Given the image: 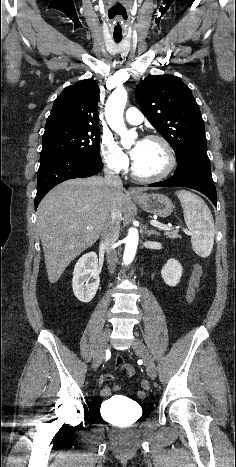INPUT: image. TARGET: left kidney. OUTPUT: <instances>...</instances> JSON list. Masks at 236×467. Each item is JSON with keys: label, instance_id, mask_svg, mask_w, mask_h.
I'll return each instance as SVG.
<instances>
[{"label": "left kidney", "instance_id": "5707ae66", "mask_svg": "<svg viewBox=\"0 0 236 467\" xmlns=\"http://www.w3.org/2000/svg\"><path fill=\"white\" fill-rule=\"evenodd\" d=\"M182 272L181 264L175 259H170L162 268L161 276L168 286L175 287L180 281Z\"/></svg>", "mask_w": 236, "mask_h": 467}]
</instances>
